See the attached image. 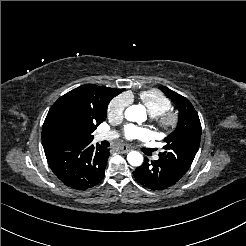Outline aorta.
Wrapping results in <instances>:
<instances>
[{"mask_svg":"<svg viewBox=\"0 0 246 246\" xmlns=\"http://www.w3.org/2000/svg\"><path fill=\"white\" fill-rule=\"evenodd\" d=\"M145 108L142 105H132L125 110V118L128 121L143 122L146 119ZM128 163L132 166H140L143 163V156L140 152L131 151L127 155Z\"/></svg>","mask_w":246,"mask_h":246,"instance_id":"1","label":"aorta"}]
</instances>
